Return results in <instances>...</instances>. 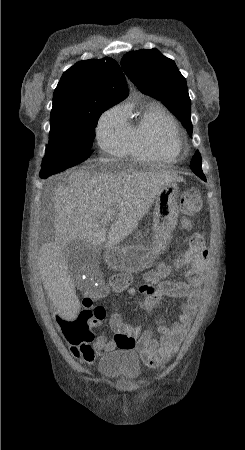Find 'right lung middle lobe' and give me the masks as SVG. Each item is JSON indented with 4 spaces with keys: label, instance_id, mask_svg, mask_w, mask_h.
<instances>
[{
    "label": "right lung middle lobe",
    "instance_id": "right-lung-middle-lobe-1",
    "mask_svg": "<svg viewBox=\"0 0 245 450\" xmlns=\"http://www.w3.org/2000/svg\"><path fill=\"white\" fill-rule=\"evenodd\" d=\"M113 105L115 103H98L88 111L51 116L49 149L43 159L40 176H50L88 159L96 122Z\"/></svg>",
    "mask_w": 245,
    "mask_h": 450
}]
</instances>
